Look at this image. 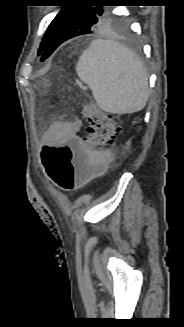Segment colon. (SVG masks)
Returning <instances> with one entry per match:
<instances>
[{"label": "colon", "mask_w": 184, "mask_h": 327, "mask_svg": "<svg viewBox=\"0 0 184 327\" xmlns=\"http://www.w3.org/2000/svg\"><path fill=\"white\" fill-rule=\"evenodd\" d=\"M83 114L89 125L77 149L68 144H46L41 153L48 177L64 191L78 189L106 166L111 155L107 148L114 143L121 127L117 117L93 105H85Z\"/></svg>", "instance_id": "5ec220e1"}]
</instances>
